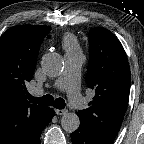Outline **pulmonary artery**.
Returning a JSON list of instances; mask_svg holds the SVG:
<instances>
[{
  "label": "pulmonary artery",
  "mask_w": 144,
  "mask_h": 144,
  "mask_svg": "<svg viewBox=\"0 0 144 144\" xmlns=\"http://www.w3.org/2000/svg\"><path fill=\"white\" fill-rule=\"evenodd\" d=\"M65 67L54 86L59 90H65L71 106L81 109L84 106V98L80 93V72L84 62V56L80 52L66 53ZM31 92L39 95L43 92L41 88L32 89Z\"/></svg>",
  "instance_id": "pulmonary-artery-1"
}]
</instances>
